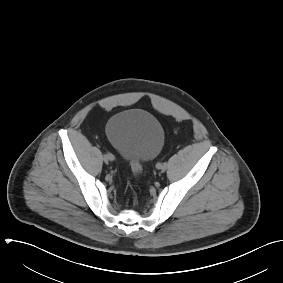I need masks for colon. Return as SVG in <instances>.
Returning <instances> with one entry per match:
<instances>
[{"mask_svg": "<svg viewBox=\"0 0 283 283\" xmlns=\"http://www.w3.org/2000/svg\"><path fill=\"white\" fill-rule=\"evenodd\" d=\"M131 168L135 176L139 177L142 173L141 164L138 161L131 162Z\"/></svg>", "mask_w": 283, "mask_h": 283, "instance_id": "obj_1", "label": "colon"}]
</instances>
